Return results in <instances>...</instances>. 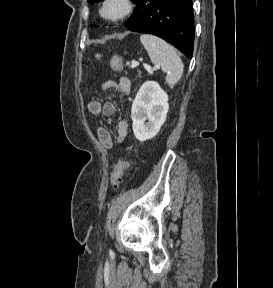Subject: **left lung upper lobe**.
<instances>
[{
  "label": "left lung upper lobe",
  "instance_id": "1",
  "mask_svg": "<svg viewBox=\"0 0 273 288\" xmlns=\"http://www.w3.org/2000/svg\"><path fill=\"white\" fill-rule=\"evenodd\" d=\"M98 1H101V0H88L89 3H94V2H98ZM133 1L135 2L136 0H133Z\"/></svg>",
  "mask_w": 273,
  "mask_h": 288
}]
</instances>
